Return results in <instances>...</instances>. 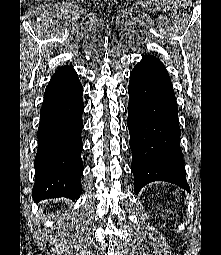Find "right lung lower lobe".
I'll use <instances>...</instances> for the list:
<instances>
[{"instance_id": "1", "label": "right lung lower lobe", "mask_w": 221, "mask_h": 255, "mask_svg": "<svg viewBox=\"0 0 221 255\" xmlns=\"http://www.w3.org/2000/svg\"><path fill=\"white\" fill-rule=\"evenodd\" d=\"M83 87L75 70L62 66L44 93L38 129L33 198H78L82 192Z\"/></svg>"}]
</instances>
